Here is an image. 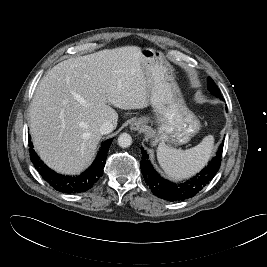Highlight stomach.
Here are the masks:
<instances>
[{"label": "stomach", "mask_w": 267, "mask_h": 267, "mask_svg": "<svg viewBox=\"0 0 267 267\" xmlns=\"http://www.w3.org/2000/svg\"><path fill=\"white\" fill-rule=\"evenodd\" d=\"M143 66L150 86V105L159 127L151 133L152 143L180 145L187 143L200 130V121L187 107L175 80L174 68L157 50L141 49ZM144 123L149 117L142 118Z\"/></svg>", "instance_id": "stomach-1"}]
</instances>
